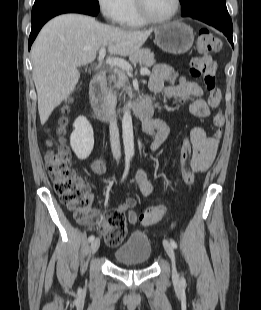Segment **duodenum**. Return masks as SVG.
Listing matches in <instances>:
<instances>
[{
  "label": "duodenum",
  "mask_w": 261,
  "mask_h": 310,
  "mask_svg": "<svg viewBox=\"0 0 261 310\" xmlns=\"http://www.w3.org/2000/svg\"><path fill=\"white\" fill-rule=\"evenodd\" d=\"M105 71H99L90 83V96L94 106L95 115L100 118L105 114ZM125 110L132 112L138 117L143 127L148 130V124L151 121L154 112V103L150 98H144L138 103L130 104Z\"/></svg>",
  "instance_id": "410a0bca"
}]
</instances>
